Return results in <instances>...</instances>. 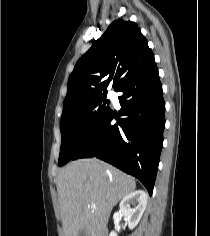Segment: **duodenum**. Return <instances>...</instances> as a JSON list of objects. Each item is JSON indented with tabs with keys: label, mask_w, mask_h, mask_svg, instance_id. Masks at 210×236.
Returning <instances> with one entry per match:
<instances>
[{
	"label": "duodenum",
	"mask_w": 210,
	"mask_h": 236,
	"mask_svg": "<svg viewBox=\"0 0 210 236\" xmlns=\"http://www.w3.org/2000/svg\"><path fill=\"white\" fill-rule=\"evenodd\" d=\"M97 236H107L106 231L103 230V231H102L100 234H98Z\"/></svg>",
	"instance_id": "obj_1"
}]
</instances>
